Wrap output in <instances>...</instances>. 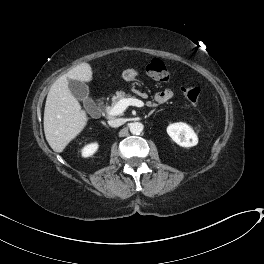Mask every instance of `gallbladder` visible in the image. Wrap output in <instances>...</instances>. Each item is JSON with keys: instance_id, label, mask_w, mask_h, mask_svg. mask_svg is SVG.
Returning <instances> with one entry per match:
<instances>
[{"instance_id": "gallbladder-1", "label": "gallbladder", "mask_w": 264, "mask_h": 264, "mask_svg": "<svg viewBox=\"0 0 264 264\" xmlns=\"http://www.w3.org/2000/svg\"><path fill=\"white\" fill-rule=\"evenodd\" d=\"M69 88L77 100L83 101L87 110L90 111L94 108V101L89 98V88L85 83L78 80H69Z\"/></svg>"}]
</instances>
